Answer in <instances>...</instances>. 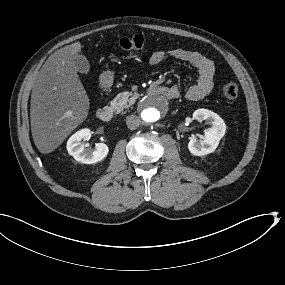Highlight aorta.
<instances>
[{
	"label": "aorta",
	"mask_w": 285,
	"mask_h": 285,
	"mask_svg": "<svg viewBox=\"0 0 285 285\" xmlns=\"http://www.w3.org/2000/svg\"><path fill=\"white\" fill-rule=\"evenodd\" d=\"M140 111L145 121L159 123L169 116L171 104L164 94L152 92L142 99Z\"/></svg>",
	"instance_id": "obj_1"
}]
</instances>
